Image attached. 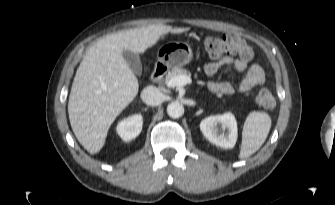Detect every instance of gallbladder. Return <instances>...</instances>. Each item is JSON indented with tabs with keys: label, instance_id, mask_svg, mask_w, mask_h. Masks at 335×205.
Wrapping results in <instances>:
<instances>
[{
	"label": "gallbladder",
	"instance_id": "gallbladder-1",
	"mask_svg": "<svg viewBox=\"0 0 335 205\" xmlns=\"http://www.w3.org/2000/svg\"><path fill=\"white\" fill-rule=\"evenodd\" d=\"M123 57L126 60L127 64L129 65L130 69L133 71V73L136 75H141L142 64L139 56L132 51L124 50Z\"/></svg>",
	"mask_w": 335,
	"mask_h": 205
}]
</instances>
